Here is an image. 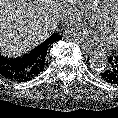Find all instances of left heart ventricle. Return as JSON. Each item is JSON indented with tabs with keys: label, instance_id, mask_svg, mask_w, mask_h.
Wrapping results in <instances>:
<instances>
[{
	"label": "left heart ventricle",
	"instance_id": "1",
	"mask_svg": "<svg viewBox=\"0 0 118 118\" xmlns=\"http://www.w3.org/2000/svg\"><path fill=\"white\" fill-rule=\"evenodd\" d=\"M92 21L105 30L112 44H118V5L110 14L97 13Z\"/></svg>",
	"mask_w": 118,
	"mask_h": 118
}]
</instances>
